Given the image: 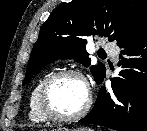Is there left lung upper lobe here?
Masks as SVG:
<instances>
[{
	"mask_svg": "<svg viewBox=\"0 0 147 131\" xmlns=\"http://www.w3.org/2000/svg\"><path fill=\"white\" fill-rule=\"evenodd\" d=\"M147 27V0H72L53 10L40 29L27 65L25 85L43 66L61 58H75L90 65L87 40L108 37L117 45L127 42ZM97 83L105 66L90 68Z\"/></svg>",
	"mask_w": 147,
	"mask_h": 131,
	"instance_id": "1",
	"label": "left lung upper lobe"
}]
</instances>
